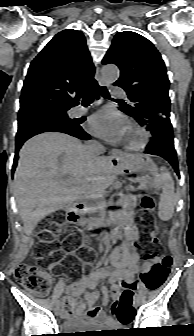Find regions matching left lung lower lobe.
<instances>
[{
  "mask_svg": "<svg viewBox=\"0 0 194 336\" xmlns=\"http://www.w3.org/2000/svg\"><path fill=\"white\" fill-rule=\"evenodd\" d=\"M151 131L152 141L146 146L145 153L157 155L167 160L179 175L177 154L173 142V129L169 118H161L146 125Z\"/></svg>",
  "mask_w": 194,
  "mask_h": 336,
  "instance_id": "1",
  "label": "left lung lower lobe"
}]
</instances>
